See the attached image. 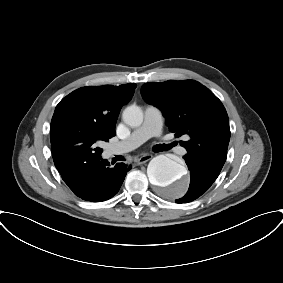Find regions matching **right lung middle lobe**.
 Instances as JSON below:
<instances>
[{
    "label": "right lung middle lobe",
    "mask_w": 283,
    "mask_h": 283,
    "mask_svg": "<svg viewBox=\"0 0 283 283\" xmlns=\"http://www.w3.org/2000/svg\"><path fill=\"white\" fill-rule=\"evenodd\" d=\"M108 139L109 137L95 130H70L69 152L72 162H82L90 157L100 156L103 149L98 145Z\"/></svg>",
    "instance_id": "dd1d6c3e"
}]
</instances>
